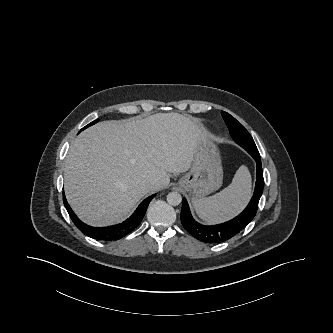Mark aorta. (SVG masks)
Returning a JSON list of instances; mask_svg holds the SVG:
<instances>
[{"instance_id":"obj_1","label":"aorta","mask_w":333,"mask_h":333,"mask_svg":"<svg viewBox=\"0 0 333 333\" xmlns=\"http://www.w3.org/2000/svg\"><path fill=\"white\" fill-rule=\"evenodd\" d=\"M182 197L178 192H170L167 195V202L172 206H177L181 203Z\"/></svg>"}]
</instances>
